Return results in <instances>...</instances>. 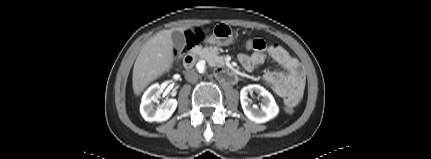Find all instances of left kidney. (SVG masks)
Here are the masks:
<instances>
[{
	"label": "left kidney",
	"mask_w": 431,
	"mask_h": 159,
	"mask_svg": "<svg viewBox=\"0 0 431 159\" xmlns=\"http://www.w3.org/2000/svg\"><path fill=\"white\" fill-rule=\"evenodd\" d=\"M253 91L262 97L260 109L249 104L248 93H252ZM240 101L246 117L256 123H265L276 117L279 113V107L271 93L257 84L243 87L240 91Z\"/></svg>",
	"instance_id": "1"
}]
</instances>
